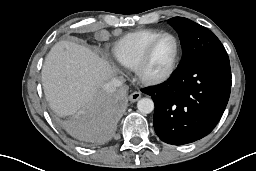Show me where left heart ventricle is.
<instances>
[{
  "instance_id": "1",
  "label": "left heart ventricle",
  "mask_w": 256,
  "mask_h": 171,
  "mask_svg": "<svg viewBox=\"0 0 256 171\" xmlns=\"http://www.w3.org/2000/svg\"><path fill=\"white\" fill-rule=\"evenodd\" d=\"M176 51L175 41L171 37L162 38L154 47L146 66L148 76H159L171 66Z\"/></svg>"
}]
</instances>
